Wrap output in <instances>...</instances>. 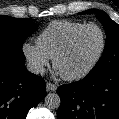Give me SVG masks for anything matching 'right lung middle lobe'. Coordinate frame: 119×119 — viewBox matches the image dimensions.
Returning a JSON list of instances; mask_svg holds the SVG:
<instances>
[{
	"label": "right lung middle lobe",
	"instance_id": "dd1d6c3e",
	"mask_svg": "<svg viewBox=\"0 0 119 119\" xmlns=\"http://www.w3.org/2000/svg\"><path fill=\"white\" fill-rule=\"evenodd\" d=\"M38 29L29 19L0 16V60L25 61L24 40Z\"/></svg>",
	"mask_w": 119,
	"mask_h": 119
}]
</instances>
